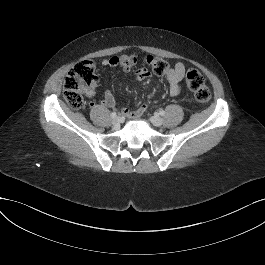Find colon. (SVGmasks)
<instances>
[{
    "mask_svg": "<svg viewBox=\"0 0 265 265\" xmlns=\"http://www.w3.org/2000/svg\"><path fill=\"white\" fill-rule=\"evenodd\" d=\"M114 64L123 70L129 71L136 64V57L133 54H122L112 57ZM146 65L152 72L159 76L168 75L170 66L164 59L148 55L145 59ZM98 81L96 67L91 60H84L77 63L67 74L64 81L63 96L67 104L79 109L83 105V92L86 89L96 86ZM188 88L193 92L195 99L201 104H207L211 98L210 90L205 84L202 74L196 69H190L186 75Z\"/></svg>",
    "mask_w": 265,
    "mask_h": 265,
    "instance_id": "5ec220e1",
    "label": "colon"
}]
</instances>
